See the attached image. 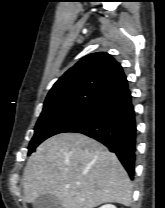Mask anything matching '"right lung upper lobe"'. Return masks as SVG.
Masks as SVG:
<instances>
[{
    "label": "right lung upper lobe",
    "mask_w": 165,
    "mask_h": 208,
    "mask_svg": "<svg viewBox=\"0 0 165 208\" xmlns=\"http://www.w3.org/2000/svg\"><path fill=\"white\" fill-rule=\"evenodd\" d=\"M128 88L122 67L105 52L82 58L51 88L44 107L65 104H97L102 99Z\"/></svg>",
    "instance_id": "right-lung-upper-lobe-1"
}]
</instances>
